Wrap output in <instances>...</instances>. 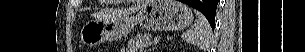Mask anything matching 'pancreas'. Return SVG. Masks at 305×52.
I'll use <instances>...</instances> for the list:
<instances>
[{
	"mask_svg": "<svg viewBox=\"0 0 305 52\" xmlns=\"http://www.w3.org/2000/svg\"><path fill=\"white\" fill-rule=\"evenodd\" d=\"M152 36L149 34L137 35L127 43V52H142L144 48L153 45Z\"/></svg>",
	"mask_w": 305,
	"mask_h": 52,
	"instance_id": "obj_1",
	"label": "pancreas"
}]
</instances>
